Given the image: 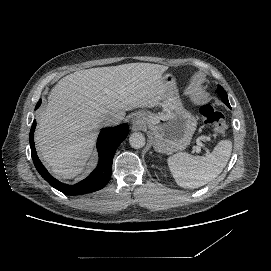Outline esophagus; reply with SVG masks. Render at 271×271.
Segmentation results:
<instances>
[{"mask_svg": "<svg viewBox=\"0 0 271 271\" xmlns=\"http://www.w3.org/2000/svg\"><path fill=\"white\" fill-rule=\"evenodd\" d=\"M136 123H137V121L133 120V124H136ZM139 129H142V125H140V124H139Z\"/></svg>", "mask_w": 271, "mask_h": 271, "instance_id": "esophagus-1", "label": "esophagus"}]
</instances>
